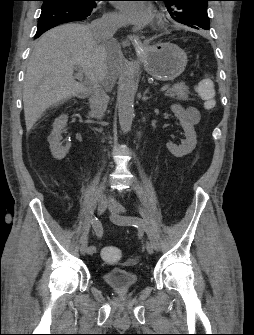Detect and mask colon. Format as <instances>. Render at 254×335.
<instances>
[{"label": "colon", "mask_w": 254, "mask_h": 335, "mask_svg": "<svg viewBox=\"0 0 254 335\" xmlns=\"http://www.w3.org/2000/svg\"><path fill=\"white\" fill-rule=\"evenodd\" d=\"M195 90L206 109L211 110L215 106L214 83L210 78H201L195 84ZM103 260L107 263H116L121 258V252L117 247L107 246L101 251Z\"/></svg>", "instance_id": "1"}]
</instances>
